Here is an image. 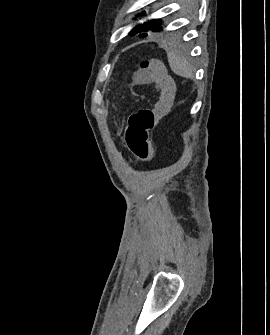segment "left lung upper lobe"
I'll list each match as a JSON object with an SVG mask.
<instances>
[{
	"label": "left lung upper lobe",
	"mask_w": 270,
	"mask_h": 335,
	"mask_svg": "<svg viewBox=\"0 0 270 335\" xmlns=\"http://www.w3.org/2000/svg\"><path fill=\"white\" fill-rule=\"evenodd\" d=\"M144 14V13H143ZM162 29L159 20H151L150 22H145L143 24L137 25L135 28L129 32L130 36H133L137 33H143L141 37H145L150 34L152 31H160Z\"/></svg>",
	"instance_id": "left-lung-upper-lobe-1"
}]
</instances>
